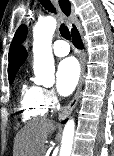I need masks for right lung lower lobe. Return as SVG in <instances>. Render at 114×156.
<instances>
[{
  "instance_id": "98d812e1",
  "label": "right lung lower lobe",
  "mask_w": 114,
  "mask_h": 156,
  "mask_svg": "<svg viewBox=\"0 0 114 156\" xmlns=\"http://www.w3.org/2000/svg\"><path fill=\"white\" fill-rule=\"evenodd\" d=\"M72 36H73V44L77 47V48H83V44L82 41L80 39V35L77 31V29L74 27L72 29ZM63 123H65V121H63Z\"/></svg>"
}]
</instances>
